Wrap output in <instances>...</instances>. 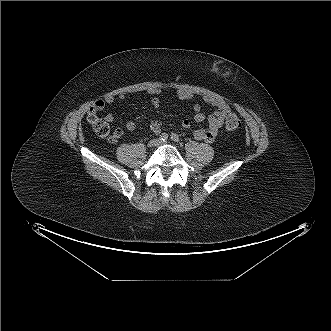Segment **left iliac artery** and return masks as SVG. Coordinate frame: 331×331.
<instances>
[{
  "mask_svg": "<svg viewBox=\"0 0 331 331\" xmlns=\"http://www.w3.org/2000/svg\"><path fill=\"white\" fill-rule=\"evenodd\" d=\"M171 139H172V141H174V142H179V136H178L177 134H172V135H171Z\"/></svg>",
  "mask_w": 331,
  "mask_h": 331,
  "instance_id": "left-iliac-artery-1",
  "label": "left iliac artery"
}]
</instances>
